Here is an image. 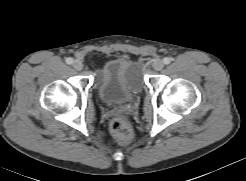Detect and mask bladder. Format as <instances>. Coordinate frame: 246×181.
<instances>
[{
    "label": "bladder",
    "instance_id": "obj_1",
    "mask_svg": "<svg viewBox=\"0 0 246 181\" xmlns=\"http://www.w3.org/2000/svg\"><path fill=\"white\" fill-rule=\"evenodd\" d=\"M96 83L100 98L105 103H122L141 89V68L126 59H113L99 68Z\"/></svg>",
    "mask_w": 246,
    "mask_h": 181
}]
</instances>
